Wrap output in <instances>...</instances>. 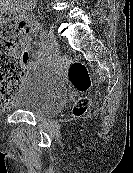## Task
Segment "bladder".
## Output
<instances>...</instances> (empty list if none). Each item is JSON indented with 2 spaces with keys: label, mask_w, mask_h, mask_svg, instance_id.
<instances>
[{
  "label": "bladder",
  "mask_w": 133,
  "mask_h": 173,
  "mask_svg": "<svg viewBox=\"0 0 133 173\" xmlns=\"http://www.w3.org/2000/svg\"><path fill=\"white\" fill-rule=\"evenodd\" d=\"M66 96L67 87L62 77L51 67L41 65L25 73L11 107L51 117L61 110Z\"/></svg>",
  "instance_id": "bladder-1"
}]
</instances>
